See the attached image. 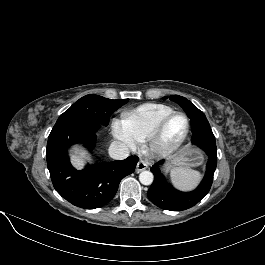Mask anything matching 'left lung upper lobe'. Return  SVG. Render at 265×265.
<instances>
[{
	"mask_svg": "<svg viewBox=\"0 0 265 265\" xmlns=\"http://www.w3.org/2000/svg\"><path fill=\"white\" fill-rule=\"evenodd\" d=\"M165 99L167 97H164ZM170 99L178 103L190 118L191 130L202 125H209V122L204 113L199 110L192 102L188 99L179 96L172 95Z\"/></svg>",
	"mask_w": 265,
	"mask_h": 265,
	"instance_id": "5c2ea615",
	"label": "left lung upper lobe"
}]
</instances>
